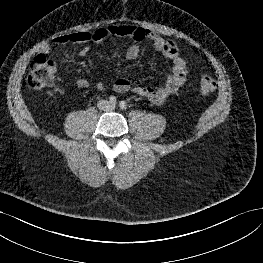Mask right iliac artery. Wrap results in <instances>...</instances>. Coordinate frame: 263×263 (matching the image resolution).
Listing matches in <instances>:
<instances>
[{
    "label": "right iliac artery",
    "mask_w": 263,
    "mask_h": 263,
    "mask_svg": "<svg viewBox=\"0 0 263 263\" xmlns=\"http://www.w3.org/2000/svg\"><path fill=\"white\" fill-rule=\"evenodd\" d=\"M116 97L115 96H111L110 98H109V102L112 104V105H115L116 104Z\"/></svg>",
    "instance_id": "right-iliac-artery-1"
}]
</instances>
